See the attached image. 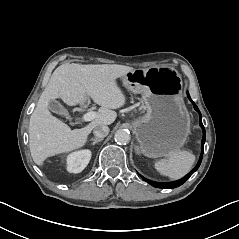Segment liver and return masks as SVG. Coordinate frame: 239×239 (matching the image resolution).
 I'll return each mask as SVG.
<instances>
[{
    "label": "liver",
    "mask_w": 239,
    "mask_h": 239,
    "mask_svg": "<svg viewBox=\"0 0 239 239\" xmlns=\"http://www.w3.org/2000/svg\"><path fill=\"white\" fill-rule=\"evenodd\" d=\"M134 69L125 65L62 64L53 72L42 92L29 123V147L37 165L55 154L82 147L98 125L112 124L117 113L113 109L125 104V96L116 79ZM86 95L100 105L98 114L86 127L71 130L48 110V102L61 98L69 106L85 101Z\"/></svg>",
    "instance_id": "liver-1"
}]
</instances>
